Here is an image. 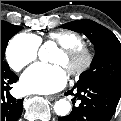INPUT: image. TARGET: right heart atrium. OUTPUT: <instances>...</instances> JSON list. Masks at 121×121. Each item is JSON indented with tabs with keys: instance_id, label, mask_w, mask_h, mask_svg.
I'll use <instances>...</instances> for the list:
<instances>
[{
	"instance_id": "obj_1",
	"label": "right heart atrium",
	"mask_w": 121,
	"mask_h": 121,
	"mask_svg": "<svg viewBox=\"0 0 121 121\" xmlns=\"http://www.w3.org/2000/svg\"><path fill=\"white\" fill-rule=\"evenodd\" d=\"M40 42L29 34H17L8 43L6 58L16 71L23 69L37 57Z\"/></svg>"
}]
</instances>
